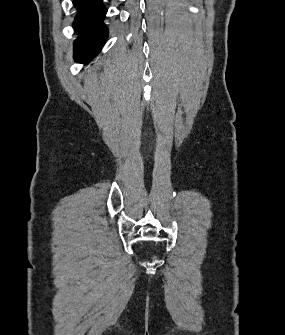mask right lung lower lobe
Instances as JSON below:
<instances>
[{
    "label": "right lung lower lobe",
    "mask_w": 285,
    "mask_h": 335,
    "mask_svg": "<svg viewBox=\"0 0 285 335\" xmlns=\"http://www.w3.org/2000/svg\"><path fill=\"white\" fill-rule=\"evenodd\" d=\"M78 11L74 28L80 32L74 44V58L87 62L101 50L108 36V29L103 24L107 9L103 0H74Z\"/></svg>",
    "instance_id": "98d812e1"
}]
</instances>
